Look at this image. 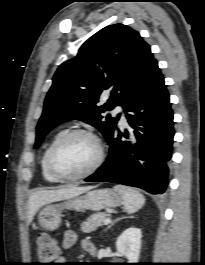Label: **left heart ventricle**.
<instances>
[{"label":"left heart ventricle","instance_id":"b2bd125f","mask_svg":"<svg viewBox=\"0 0 205 265\" xmlns=\"http://www.w3.org/2000/svg\"><path fill=\"white\" fill-rule=\"evenodd\" d=\"M98 149L86 136H74L63 142L54 152V168L64 175H76L87 170L96 160Z\"/></svg>","mask_w":205,"mask_h":265}]
</instances>
